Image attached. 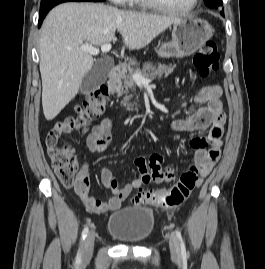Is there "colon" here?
<instances>
[{
    "mask_svg": "<svg viewBox=\"0 0 265 269\" xmlns=\"http://www.w3.org/2000/svg\"><path fill=\"white\" fill-rule=\"evenodd\" d=\"M219 60L216 43L208 40L202 44L200 50L194 56L193 62L200 74L206 77L219 68ZM108 96L107 87L100 86L83 99L82 104L75 108L72 116L57 122L48 133L46 138L47 152L55 174L62 185L70 187L76 182L79 165L70 144H60V138L72 131H87L91 121L104 112ZM220 134L221 128L219 126L214 127L211 132L212 137L217 138ZM199 175L200 167L197 164H192L169 190L140 191L134 196L133 202L165 208L179 206L195 190Z\"/></svg>",
    "mask_w": 265,
    "mask_h": 269,
    "instance_id": "5ec220e1",
    "label": "colon"
}]
</instances>
